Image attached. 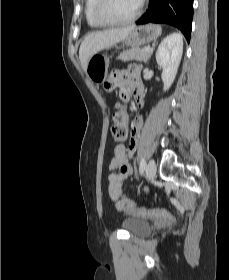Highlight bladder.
Instances as JSON below:
<instances>
[{"instance_id":"bladder-1","label":"bladder","mask_w":229,"mask_h":280,"mask_svg":"<svg viewBox=\"0 0 229 280\" xmlns=\"http://www.w3.org/2000/svg\"><path fill=\"white\" fill-rule=\"evenodd\" d=\"M123 225L134 236L149 234L154 230L145 219L127 218L123 221Z\"/></svg>"}]
</instances>
